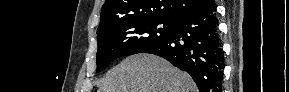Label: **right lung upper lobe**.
<instances>
[{
    "mask_svg": "<svg viewBox=\"0 0 289 92\" xmlns=\"http://www.w3.org/2000/svg\"><path fill=\"white\" fill-rule=\"evenodd\" d=\"M213 3L214 0H106L97 32L126 20L157 18L173 22Z\"/></svg>",
    "mask_w": 289,
    "mask_h": 92,
    "instance_id": "cb5924a9",
    "label": "right lung upper lobe"
}]
</instances>
